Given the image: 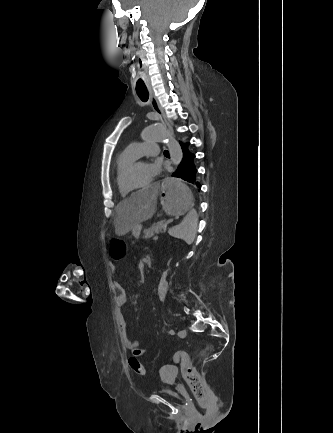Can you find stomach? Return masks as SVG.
Listing matches in <instances>:
<instances>
[{
    "instance_id": "obj_1",
    "label": "stomach",
    "mask_w": 333,
    "mask_h": 433,
    "mask_svg": "<svg viewBox=\"0 0 333 433\" xmlns=\"http://www.w3.org/2000/svg\"><path fill=\"white\" fill-rule=\"evenodd\" d=\"M159 196L163 198V213L168 220H181L182 215L193 210L192 190L188 183H182L181 176H164ZM140 229H132L135 238L139 237Z\"/></svg>"
}]
</instances>
